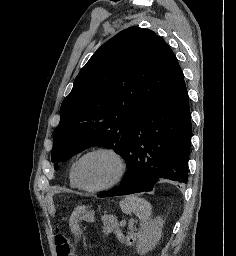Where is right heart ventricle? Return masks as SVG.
Here are the masks:
<instances>
[{"mask_svg":"<svg viewBox=\"0 0 236 256\" xmlns=\"http://www.w3.org/2000/svg\"><path fill=\"white\" fill-rule=\"evenodd\" d=\"M78 156L74 157L72 161L70 162L69 169H68V182L69 185L74 188V189H79L80 185L78 184L76 174H75V169H76V163L78 160Z\"/></svg>","mask_w":236,"mask_h":256,"instance_id":"e07e8e85","label":"right heart ventricle"}]
</instances>
